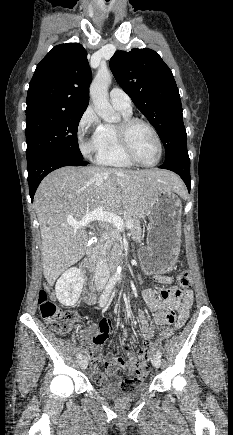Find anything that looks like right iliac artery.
<instances>
[{"label":"right iliac artery","mask_w":233,"mask_h":435,"mask_svg":"<svg viewBox=\"0 0 233 435\" xmlns=\"http://www.w3.org/2000/svg\"><path fill=\"white\" fill-rule=\"evenodd\" d=\"M116 281H117L116 279H110V281L107 283V285H106V287H105V289L100 297V300H99L100 307H104L106 305L108 298H109V294H110L111 290L113 289L114 285L116 284ZM81 357H82V353L79 352L77 354V358L80 359Z\"/></svg>","instance_id":"right-iliac-artery-1"}]
</instances>
